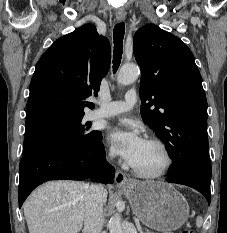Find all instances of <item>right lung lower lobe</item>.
<instances>
[{"label":"right lung lower lobe","instance_id":"98d812e1","mask_svg":"<svg viewBox=\"0 0 227 233\" xmlns=\"http://www.w3.org/2000/svg\"><path fill=\"white\" fill-rule=\"evenodd\" d=\"M101 135L83 147L50 146L23 155L19 165V207L40 184L49 180L113 183L115 170L105 158Z\"/></svg>","mask_w":227,"mask_h":233}]
</instances>
